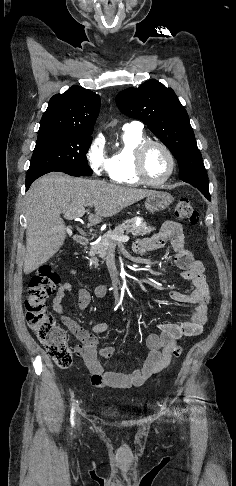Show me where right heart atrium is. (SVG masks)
Here are the masks:
<instances>
[{"instance_id": "right-heart-atrium-1", "label": "right heart atrium", "mask_w": 236, "mask_h": 486, "mask_svg": "<svg viewBox=\"0 0 236 486\" xmlns=\"http://www.w3.org/2000/svg\"><path fill=\"white\" fill-rule=\"evenodd\" d=\"M86 158L91 170L97 176L109 175V158L105 151V142L101 136H96L90 142Z\"/></svg>"}]
</instances>
